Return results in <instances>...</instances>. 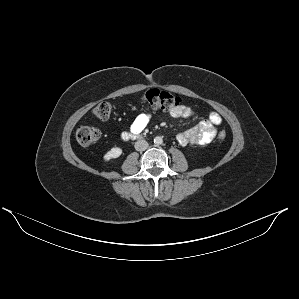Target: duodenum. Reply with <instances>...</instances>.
<instances>
[{
    "label": "duodenum",
    "instance_id": "obj_1",
    "mask_svg": "<svg viewBox=\"0 0 299 299\" xmlns=\"http://www.w3.org/2000/svg\"><path fill=\"white\" fill-rule=\"evenodd\" d=\"M122 137H123V139L128 140V139L135 138L136 135H134V134H132V133H123Z\"/></svg>",
    "mask_w": 299,
    "mask_h": 299
}]
</instances>
